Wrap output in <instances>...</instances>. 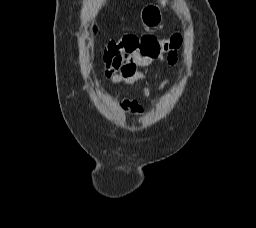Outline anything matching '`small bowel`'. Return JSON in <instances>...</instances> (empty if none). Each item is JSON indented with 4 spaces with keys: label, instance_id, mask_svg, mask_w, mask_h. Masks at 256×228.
Segmentation results:
<instances>
[{
    "label": "small bowel",
    "instance_id": "obj_1",
    "mask_svg": "<svg viewBox=\"0 0 256 228\" xmlns=\"http://www.w3.org/2000/svg\"><path fill=\"white\" fill-rule=\"evenodd\" d=\"M167 52V58L164 57V53ZM167 61L170 64H174L177 60L176 49H169L164 47L160 54L156 57L143 55L139 52H133L123 55L116 64L106 66L105 74L107 78L116 84H134L136 82H145V74L138 68L146 67L152 64L154 61ZM167 81L164 80L159 88H163ZM152 91L148 86L143 87V95L149 97ZM121 107L125 111L130 113L141 115L143 113V107L136 99H124L121 102Z\"/></svg>",
    "mask_w": 256,
    "mask_h": 228
}]
</instances>
